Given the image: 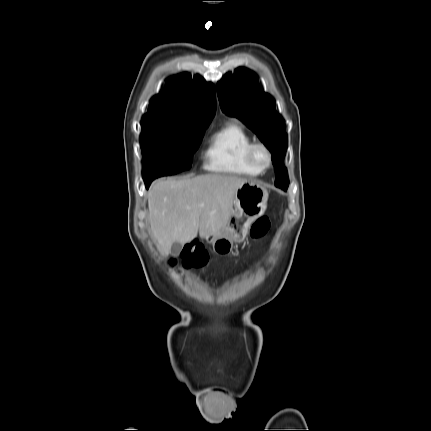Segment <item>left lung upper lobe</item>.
Listing matches in <instances>:
<instances>
[{
    "mask_svg": "<svg viewBox=\"0 0 431 431\" xmlns=\"http://www.w3.org/2000/svg\"><path fill=\"white\" fill-rule=\"evenodd\" d=\"M221 109L246 124L272 153L275 185L287 190L289 179L284 167L287 150L285 121L277 113L274 99L259 86L257 76L246 68L226 74L217 84Z\"/></svg>",
    "mask_w": 431,
    "mask_h": 431,
    "instance_id": "5c2ea615",
    "label": "left lung upper lobe"
}]
</instances>
